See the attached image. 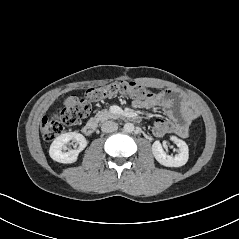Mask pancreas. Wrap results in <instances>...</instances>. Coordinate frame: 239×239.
<instances>
[{
	"instance_id": "pancreas-1",
	"label": "pancreas",
	"mask_w": 239,
	"mask_h": 239,
	"mask_svg": "<svg viewBox=\"0 0 239 239\" xmlns=\"http://www.w3.org/2000/svg\"><path fill=\"white\" fill-rule=\"evenodd\" d=\"M116 116L114 114H112L109 110L104 109L102 111H99L96 116L95 119L97 121H105L107 119H112L115 118Z\"/></svg>"
}]
</instances>
